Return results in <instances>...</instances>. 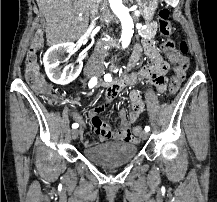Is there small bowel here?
Here are the masks:
<instances>
[{
	"instance_id": "c3829d8e",
	"label": "small bowel",
	"mask_w": 217,
	"mask_h": 202,
	"mask_svg": "<svg viewBox=\"0 0 217 202\" xmlns=\"http://www.w3.org/2000/svg\"><path fill=\"white\" fill-rule=\"evenodd\" d=\"M143 49L151 59H154L153 66L139 70L129 79L123 77L113 83L107 88L103 103L88 109L90 122L101 142L112 141L125 144H136L139 142L142 131H132L130 123L135 122L143 113L144 106L151 105L150 101H142L139 92L132 91L128 95L131 107L128 115L124 108L119 110L121 122L118 129L112 130L101 118L102 112L110 106L111 101L117 97L127 85L136 83L141 79H147L154 84L159 92L164 90V73L167 69L166 62L158 55L156 46L152 40L146 39L143 43ZM141 52L142 48L140 46H136L131 56L132 63H135L139 59ZM70 115L74 120L79 122L82 121L81 116L77 113L71 111ZM80 139L85 147H92L95 144L93 140L84 139L83 130L80 131Z\"/></svg>"
}]
</instances>
